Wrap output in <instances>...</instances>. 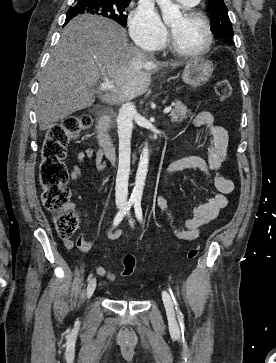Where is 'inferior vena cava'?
<instances>
[{
	"label": "inferior vena cava",
	"mask_w": 276,
	"mask_h": 363,
	"mask_svg": "<svg viewBox=\"0 0 276 363\" xmlns=\"http://www.w3.org/2000/svg\"><path fill=\"white\" fill-rule=\"evenodd\" d=\"M136 114L134 104L127 102L123 104L117 116L119 135V166L116 177V205L127 204L128 179L130 172V138L133 127V117Z\"/></svg>",
	"instance_id": "inferior-vena-cava-1"
}]
</instances>
